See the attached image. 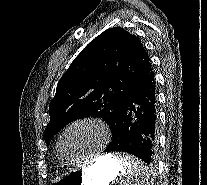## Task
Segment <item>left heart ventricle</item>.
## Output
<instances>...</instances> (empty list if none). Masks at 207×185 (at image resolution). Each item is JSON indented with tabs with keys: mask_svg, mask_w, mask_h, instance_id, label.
<instances>
[{
	"mask_svg": "<svg viewBox=\"0 0 207 185\" xmlns=\"http://www.w3.org/2000/svg\"><path fill=\"white\" fill-rule=\"evenodd\" d=\"M106 137L92 123H82L71 128L63 139V151L71 159H80L100 150Z\"/></svg>",
	"mask_w": 207,
	"mask_h": 185,
	"instance_id": "b2bd125f",
	"label": "left heart ventricle"
}]
</instances>
